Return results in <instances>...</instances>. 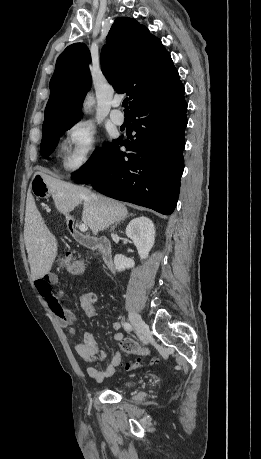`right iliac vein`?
<instances>
[{
	"instance_id": "right-iliac-vein-1",
	"label": "right iliac vein",
	"mask_w": 261,
	"mask_h": 459,
	"mask_svg": "<svg viewBox=\"0 0 261 459\" xmlns=\"http://www.w3.org/2000/svg\"><path fill=\"white\" fill-rule=\"evenodd\" d=\"M129 319L139 333L143 334L148 330V326L136 312L130 311Z\"/></svg>"
}]
</instances>
